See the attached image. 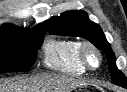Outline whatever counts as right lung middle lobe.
Instances as JSON below:
<instances>
[{
    "instance_id": "obj_1",
    "label": "right lung middle lobe",
    "mask_w": 127,
    "mask_h": 92,
    "mask_svg": "<svg viewBox=\"0 0 127 92\" xmlns=\"http://www.w3.org/2000/svg\"><path fill=\"white\" fill-rule=\"evenodd\" d=\"M45 33L38 31L22 37L0 36V73L30 68Z\"/></svg>"
}]
</instances>
